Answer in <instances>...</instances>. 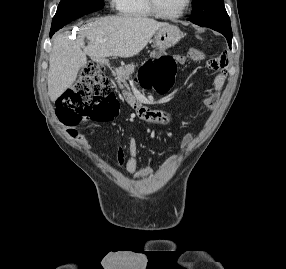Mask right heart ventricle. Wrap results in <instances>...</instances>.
Instances as JSON below:
<instances>
[{"mask_svg":"<svg viewBox=\"0 0 286 269\" xmlns=\"http://www.w3.org/2000/svg\"><path fill=\"white\" fill-rule=\"evenodd\" d=\"M119 14L129 18L145 19L154 15L147 6L146 0H114Z\"/></svg>","mask_w":286,"mask_h":269,"instance_id":"right-heart-ventricle-1","label":"right heart ventricle"}]
</instances>
